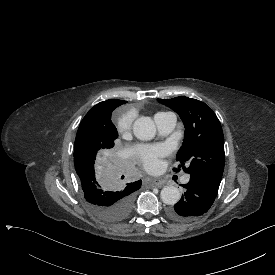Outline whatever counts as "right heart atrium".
<instances>
[{
	"instance_id": "1",
	"label": "right heart atrium",
	"mask_w": 275,
	"mask_h": 275,
	"mask_svg": "<svg viewBox=\"0 0 275 275\" xmlns=\"http://www.w3.org/2000/svg\"><path fill=\"white\" fill-rule=\"evenodd\" d=\"M131 121H132L131 117H126V118H123L122 120H120L117 125L119 133H124L127 130H129Z\"/></svg>"
}]
</instances>
